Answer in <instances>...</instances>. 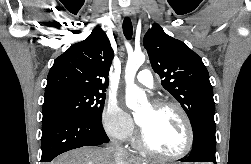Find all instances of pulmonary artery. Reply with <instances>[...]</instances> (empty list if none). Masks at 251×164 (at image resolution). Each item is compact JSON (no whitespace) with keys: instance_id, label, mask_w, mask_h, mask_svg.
Instances as JSON below:
<instances>
[{"instance_id":"e3ab8cb5","label":"pulmonary artery","mask_w":251,"mask_h":164,"mask_svg":"<svg viewBox=\"0 0 251 164\" xmlns=\"http://www.w3.org/2000/svg\"><path fill=\"white\" fill-rule=\"evenodd\" d=\"M136 81L139 84H141L145 87H148V88H153V86H154V80H153L152 73L147 69L141 70L137 74Z\"/></svg>"}]
</instances>
